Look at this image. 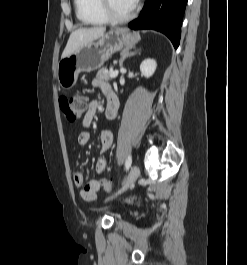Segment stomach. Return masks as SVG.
<instances>
[{"label":"stomach","mask_w":247,"mask_h":265,"mask_svg":"<svg viewBox=\"0 0 247 265\" xmlns=\"http://www.w3.org/2000/svg\"><path fill=\"white\" fill-rule=\"evenodd\" d=\"M138 37L126 29L117 28L102 35L96 41L89 42L69 56L62 58L56 70L60 87L71 89L81 72H91L100 68L114 53L123 48H131Z\"/></svg>","instance_id":"stomach-1"}]
</instances>
